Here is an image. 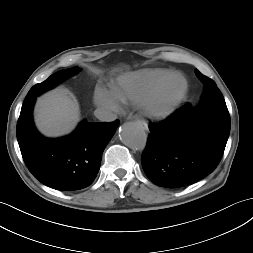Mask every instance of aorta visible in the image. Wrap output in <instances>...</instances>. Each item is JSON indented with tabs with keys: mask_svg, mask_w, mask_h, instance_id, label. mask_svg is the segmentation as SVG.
Instances as JSON below:
<instances>
[{
	"mask_svg": "<svg viewBox=\"0 0 253 253\" xmlns=\"http://www.w3.org/2000/svg\"><path fill=\"white\" fill-rule=\"evenodd\" d=\"M119 137L121 141L133 150H143L147 142L144 127L137 122H127L122 125Z\"/></svg>",
	"mask_w": 253,
	"mask_h": 253,
	"instance_id": "aorta-1",
	"label": "aorta"
}]
</instances>
